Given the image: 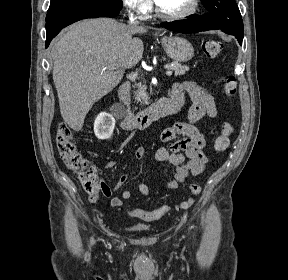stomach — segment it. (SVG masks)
I'll return each instance as SVG.
<instances>
[{"label":"stomach","mask_w":288,"mask_h":280,"mask_svg":"<svg viewBox=\"0 0 288 280\" xmlns=\"http://www.w3.org/2000/svg\"><path fill=\"white\" fill-rule=\"evenodd\" d=\"M161 42L166 54L175 62H187L194 56V48L185 38L165 36Z\"/></svg>","instance_id":"1"}]
</instances>
